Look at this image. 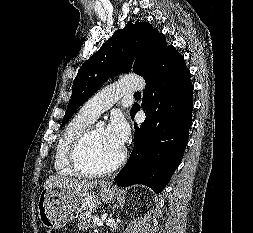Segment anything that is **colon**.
Listing matches in <instances>:
<instances>
[{"label":"colon","instance_id":"obj_1","mask_svg":"<svg viewBox=\"0 0 253 233\" xmlns=\"http://www.w3.org/2000/svg\"><path fill=\"white\" fill-rule=\"evenodd\" d=\"M45 233H56V231L55 230H47V231H45Z\"/></svg>","mask_w":253,"mask_h":233}]
</instances>
